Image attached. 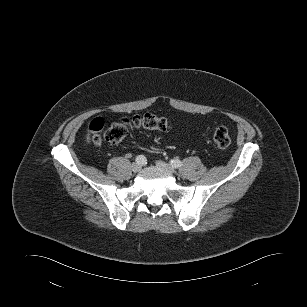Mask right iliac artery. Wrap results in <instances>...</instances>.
I'll return each instance as SVG.
<instances>
[{"label": "right iliac artery", "instance_id": "82829eb1", "mask_svg": "<svg viewBox=\"0 0 307 307\" xmlns=\"http://www.w3.org/2000/svg\"><path fill=\"white\" fill-rule=\"evenodd\" d=\"M136 162L140 164H145L146 158L143 155H139L136 157Z\"/></svg>", "mask_w": 307, "mask_h": 307}]
</instances>
